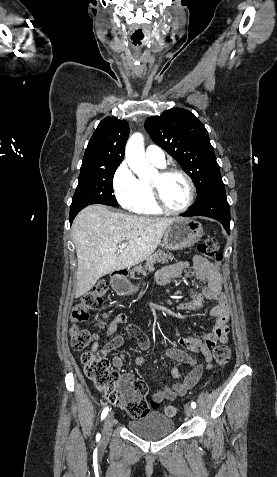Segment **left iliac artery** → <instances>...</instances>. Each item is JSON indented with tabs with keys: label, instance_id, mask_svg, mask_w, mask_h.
I'll list each match as a JSON object with an SVG mask.
<instances>
[{
	"label": "left iliac artery",
	"instance_id": "obj_1",
	"mask_svg": "<svg viewBox=\"0 0 277 477\" xmlns=\"http://www.w3.org/2000/svg\"><path fill=\"white\" fill-rule=\"evenodd\" d=\"M191 407H192L193 409L196 408V403H195V402H192V403H191Z\"/></svg>",
	"mask_w": 277,
	"mask_h": 477
}]
</instances>
